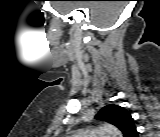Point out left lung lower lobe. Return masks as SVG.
Returning <instances> with one entry per match:
<instances>
[{"label": "left lung lower lobe", "instance_id": "0a47b994", "mask_svg": "<svg viewBox=\"0 0 160 137\" xmlns=\"http://www.w3.org/2000/svg\"><path fill=\"white\" fill-rule=\"evenodd\" d=\"M138 133L136 131V128L128 135L130 137H137Z\"/></svg>", "mask_w": 160, "mask_h": 137}]
</instances>
